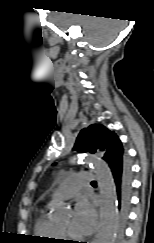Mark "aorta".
<instances>
[{
	"mask_svg": "<svg viewBox=\"0 0 154 243\" xmlns=\"http://www.w3.org/2000/svg\"><path fill=\"white\" fill-rule=\"evenodd\" d=\"M78 161L89 164L98 178L101 196L100 224L92 243H114L118 217L115 185L111 170L106 163L90 155H85ZM63 208V202L53 201L52 210L56 215H59Z\"/></svg>",
	"mask_w": 154,
	"mask_h": 243,
	"instance_id": "1",
	"label": "aorta"
}]
</instances>
